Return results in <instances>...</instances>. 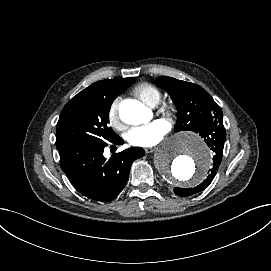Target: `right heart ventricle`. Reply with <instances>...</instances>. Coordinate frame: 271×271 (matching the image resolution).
<instances>
[{"label": "right heart ventricle", "instance_id": "e07e8e85", "mask_svg": "<svg viewBox=\"0 0 271 271\" xmlns=\"http://www.w3.org/2000/svg\"><path fill=\"white\" fill-rule=\"evenodd\" d=\"M133 93L138 96L145 104L155 107L161 100L160 90L151 83L143 82L138 84Z\"/></svg>", "mask_w": 271, "mask_h": 271}]
</instances>
